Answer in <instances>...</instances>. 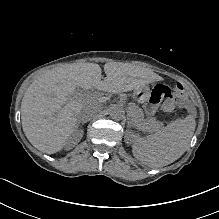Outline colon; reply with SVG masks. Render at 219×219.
<instances>
[{"label": "colon", "instance_id": "obj_1", "mask_svg": "<svg viewBox=\"0 0 219 219\" xmlns=\"http://www.w3.org/2000/svg\"><path fill=\"white\" fill-rule=\"evenodd\" d=\"M172 95L181 100V102L188 103L187 93L181 84H176L172 91ZM176 103L173 99H167L162 106V109L166 113H171L174 111Z\"/></svg>", "mask_w": 219, "mask_h": 219}]
</instances>
